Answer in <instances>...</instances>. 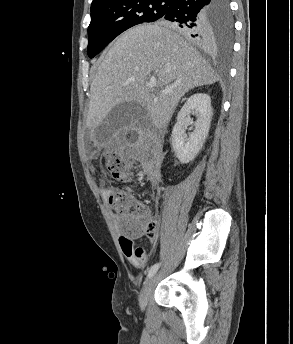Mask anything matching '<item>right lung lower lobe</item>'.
Segmentation results:
<instances>
[{
	"label": "right lung lower lobe",
	"instance_id": "1",
	"mask_svg": "<svg viewBox=\"0 0 293 344\" xmlns=\"http://www.w3.org/2000/svg\"><path fill=\"white\" fill-rule=\"evenodd\" d=\"M215 4L216 0H169L168 9L161 20L173 22L172 26L195 44L210 50L215 42Z\"/></svg>",
	"mask_w": 293,
	"mask_h": 344
}]
</instances>
